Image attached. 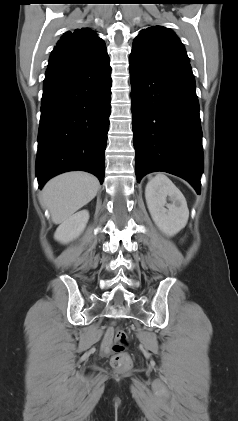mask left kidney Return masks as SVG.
<instances>
[{"label":"left kidney","mask_w":238,"mask_h":421,"mask_svg":"<svg viewBox=\"0 0 238 421\" xmlns=\"http://www.w3.org/2000/svg\"><path fill=\"white\" fill-rule=\"evenodd\" d=\"M167 197L171 203H167ZM145 198L151 217L167 236L176 235L188 221L189 210L181 191L164 175L149 179Z\"/></svg>","instance_id":"obj_1"}]
</instances>
